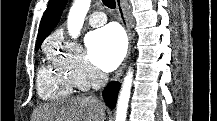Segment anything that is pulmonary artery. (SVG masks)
<instances>
[{
  "label": "pulmonary artery",
  "instance_id": "pulmonary-artery-1",
  "mask_svg": "<svg viewBox=\"0 0 217 121\" xmlns=\"http://www.w3.org/2000/svg\"><path fill=\"white\" fill-rule=\"evenodd\" d=\"M107 21V17L103 12H94L89 18V24L92 27H99L105 24Z\"/></svg>",
  "mask_w": 217,
  "mask_h": 121
}]
</instances>
